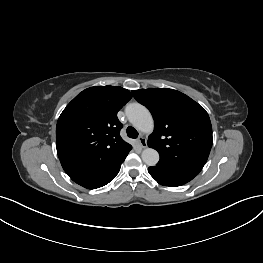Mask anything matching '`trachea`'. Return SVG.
I'll use <instances>...</instances> for the list:
<instances>
[{
	"mask_svg": "<svg viewBox=\"0 0 263 263\" xmlns=\"http://www.w3.org/2000/svg\"><path fill=\"white\" fill-rule=\"evenodd\" d=\"M126 132H127L128 137H130V138L135 139V138L138 137L137 130L135 128L131 127V126L127 127Z\"/></svg>",
	"mask_w": 263,
	"mask_h": 263,
	"instance_id": "1",
	"label": "trachea"
}]
</instances>
